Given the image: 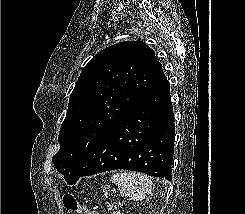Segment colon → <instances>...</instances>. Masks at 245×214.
<instances>
[{"label":"colon","instance_id":"obj_1","mask_svg":"<svg viewBox=\"0 0 245 214\" xmlns=\"http://www.w3.org/2000/svg\"><path fill=\"white\" fill-rule=\"evenodd\" d=\"M63 204L69 211L77 214H97L96 212L81 205L72 194H67L63 199ZM112 214H123L119 211L113 212Z\"/></svg>","mask_w":245,"mask_h":214}]
</instances>
